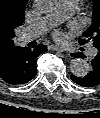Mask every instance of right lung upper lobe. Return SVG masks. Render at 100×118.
I'll return each instance as SVG.
<instances>
[{
    "instance_id": "1",
    "label": "right lung upper lobe",
    "mask_w": 100,
    "mask_h": 118,
    "mask_svg": "<svg viewBox=\"0 0 100 118\" xmlns=\"http://www.w3.org/2000/svg\"><path fill=\"white\" fill-rule=\"evenodd\" d=\"M28 0H0V57L14 52V29L24 22V8Z\"/></svg>"
}]
</instances>
